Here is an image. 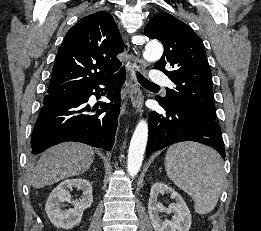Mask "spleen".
I'll return each instance as SVG.
<instances>
[{
	"instance_id": "3e777b00",
	"label": "spleen",
	"mask_w": 261,
	"mask_h": 231,
	"mask_svg": "<svg viewBox=\"0 0 261 231\" xmlns=\"http://www.w3.org/2000/svg\"><path fill=\"white\" fill-rule=\"evenodd\" d=\"M165 170L192 197L197 213L207 214L215 208L224 178L223 162L215 150L194 142L172 145L166 152Z\"/></svg>"
}]
</instances>
